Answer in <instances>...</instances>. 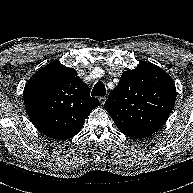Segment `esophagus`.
I'll use <instances>...</instances> for the list:
<instances>
[{
	"label": "esophagus",
	"instance_id": "esophagus-1",
	"mask_svg": "<svg viewBox=\"0 0 193 193\" xmlns=\"http://www.w3.org/2000/svg\"><path fill=\"white\" fill-rule=\"evenodd\" d=\"M98 100H99L101 105H104L106 102V97H99Z\"/></svg>",
	"mask_w": 193,
	"mask_h": 193
}]
</instances>
